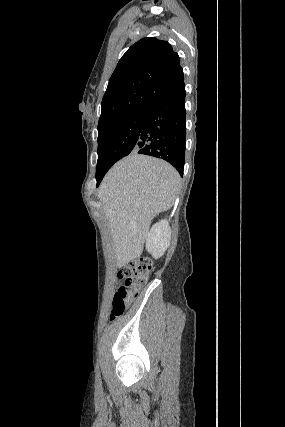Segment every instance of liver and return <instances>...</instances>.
Segmentation results:
<instances>
[{
  "instance_id": "1",
  "label": "liver",
  "mask_w": 285,
  "mask_h": 427,
  "mask_svg": "<svg viewBox=\"0 0 285 427\" xmlns=\"http://www.w3.org/2000/svg\"><path fill=\"white\" fill-rule=\"evenodd\" d=\"M180 182L169 163L136 152L107 172L98 198L112 234L118 267L141 256L151 221L173 206Z\"/></svg>"
}]
</instances>
